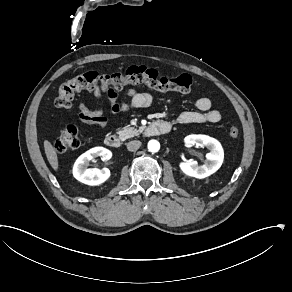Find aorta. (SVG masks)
I'll use <instances>...</instances> for the list:
<instances>
[{
    "label": "aorta",
    "instance_id": "1",
    "mask_svg": "<svg viewBox=\"0 0 292 292\" xmlns=\"http://www.w3.org/2000/svg\"><path fill=\"white\" fill-rule=\"evenodd\" d=\"M159 149H160V144H159L158 141H156V140L149 141V143H148V150L150 152L156 153V152L159 151Z\"/></svg>",
    "mask_w": 292,
    "mask_h": 292
}]
</instances>
